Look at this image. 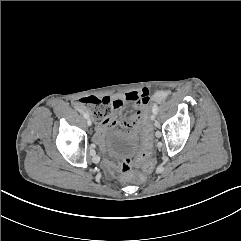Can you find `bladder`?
Returning a JSON list of instances; mask_svg holds the SVG:
<instances>
[{"label":"bladder","mask_w":241,"mask_h":241,"mask_svg":"<svg viewBox=\"0 0 241 241\" xmlns=\"http://www.w3.org/2000/svg\"><path fill=\"white\" fill-rule=\"evenodd\" d=\"M137 136L128 135L122 131H116L111 136V146L115 154L127 155L133 153L138 147Z\"/></svg>","instance_id":"1"}]
</instances>
